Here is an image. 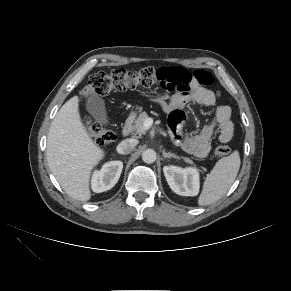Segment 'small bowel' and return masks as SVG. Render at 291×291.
<instances>
[{
  "instance_id": "c3829d8e",
  "label": "small bowel",
  "mask_w": 291,
  "mask_h": 291,
  "mask_svg": "<svg viewBox=\"0 0 291 291\" xmlns=\"http://www.w3.org/2000/svg\"><path fill=\"white\" fill-rule=\"evenodd\" d=\"M162 75L168 79L178 78L186 81L187 84L182 89L168 97L163 95L159 101L165 112L169 115V127L174 141L180 145L186 152L196 157H205L210 151L211 141L218 133L219 141L228 143L234 132V126L231 120V109L226 105H217L218 93L205 86L213 81L209 74L206 82H201L196 72L191 74L180 67L163 68ZM166 88V87H164ZM214 107L213 119L197 134L183 136L182 128L186 119L185 107L189 104Z\"/></svg>"
}]
</instances>
